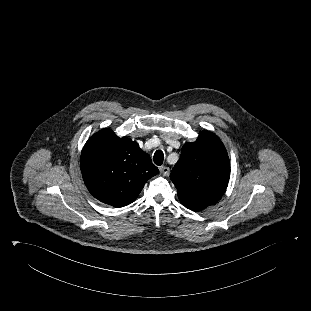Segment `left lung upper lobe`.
Returning a JSON list of instances; mask_svg holds the SVG:
<instances>
[{
	"mask_svg": "<svg viewBox=\"0 0 311 311\" xmlns=\"http://www.w3.org/2000/svg\"><path fill=\"white\" fill-rule=\"evenodd\" d=\"M230 176L229 157L221 140L203 130L193 143H186L170 178L181 202L212 205L226 191Z\"/></svg>",
	"mask_w": 311,
	"mask_h": 311,
	"instance_id": "left-lung-upper-lobe-1",
	"label": "left lung upper lobe"
}]
</instances>
